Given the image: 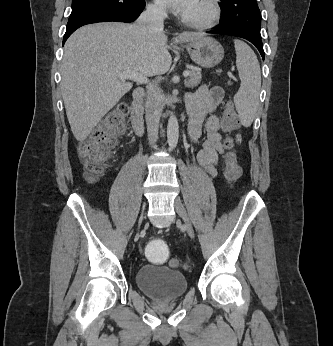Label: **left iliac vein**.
Here are the masks:
<instances>
[{"mask_svg": "<svg viewBox=\"0 0 333 346\" xmlns=\"http://www.w3.org/2000/svg\"><path fill=\"white\" fill-rule=\"evenodd\" d=\"M174 209L177 214L181 217L184 223V227L191 238L195 237L194 229L189 218V215L179 197H176L174 200Z\"/></svg>", "mask_w": 333, "mask_h": 346, "instance_id": "1", "label": "left iliac vein"}]
</instances>
